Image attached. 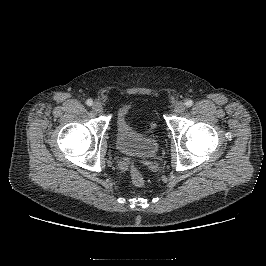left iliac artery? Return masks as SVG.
I'll return each instance as SVG.
<instances>
[{"mask_svg":"<svg viewBox=\"0 0 266 266\" xmlns=\"http://www.w3.org/2000/svg\"><path fill=\"white\" fill-rule=\"evenodd\" d=\"M185 105H186L187 107H191V106L193 105V101L190 100V99H188V100H186Z\"/></svg>","mask_w":266,"mask_h":266,"instance_id":"obj_1","label":"left iliac artery"}]
</instances>
